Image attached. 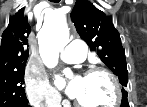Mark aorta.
Wrapping results in <instances>:
<instances>
[{
	"instance_id": "obj_1",
	"label": "aorta",
	"mask_w": 147,
	"mask_h": 107,
	"mask_svg": "<svg viewBox=\"0 0 147 107\" xmlns=\"http://www.w3.org/2000/svg\"><path fill=\"white\" fill-rule=\"evenodd\" d=\"M70 31L68 26L60 21H46L38 34L40 56L48 68H54L58 64L59 52L67 45ZM67 76H71L70 70H64ZM58 87H63L64 82L56 80Z\"/></svg>"
}]
</instances>
